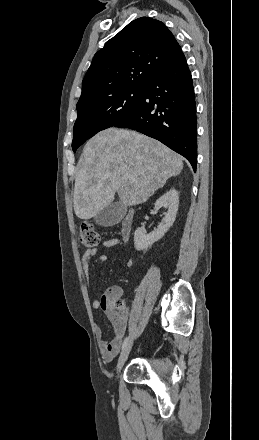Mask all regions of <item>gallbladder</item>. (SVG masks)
Listing matches in <instances>:
<instances>
[{
  "instance_id": "bac80fb5",
  "label": "gallbladder",
  "mask_w": 259,
  "mask_h": 440,
  "mask_svg": "<svg viewBox=\"0 0 259 440\" xmlns=\"http://www.w3.org/2000/svg\"><path fill=\"white\" fill-rule=\"evenodd\" d=\"M125 215V206L121 202H114L102 209L95 217L96 224L111 227L118 224Z\"/></svg>"
}]
</instances>
